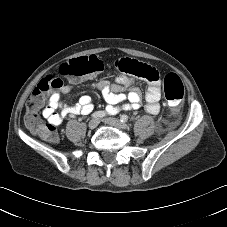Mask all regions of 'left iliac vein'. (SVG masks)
I'll list each match as a JSON object with an SVG mask.
<instances>
[{"mask_svg": "<svg viewBox=\"0 0 227 227\" xmlns=\"http://www.w3.org/2000/svg\"><path fill=\"white\" fill-rule=\"evenodd\" d=\"M103 122H105L106 124L116 127L118 129H127L128 126L125 123H122L119 119L116 118H106L103 119Z\"/></svg>", "mask_w": 227, "mask_h": 227, "instance_id": "left-iliac-vein-1", "label": "left iliac vein"}]
</instances>
